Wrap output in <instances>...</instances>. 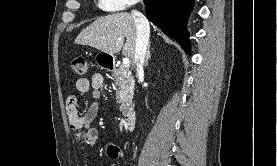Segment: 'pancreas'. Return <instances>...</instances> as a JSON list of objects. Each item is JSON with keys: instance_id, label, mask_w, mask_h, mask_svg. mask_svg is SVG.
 <instances>
[{"instance_id": "1", "label": "pancreas", "mask_w": 277, "mask_h": 166, "mask_svg": "<svg viewBox=\"0 0 277 166\" xmlns=\"http://www.w3.org/2000/svg\"><path fill=\"white\" fill-rule=\"evenodd\" d=\"M115 84L118 87L116 91V102L120 104V109L123 110L131 103L134 94V82L131 73L127 67L120 66L113 72Z\"/></svg>"}]
</instances>
